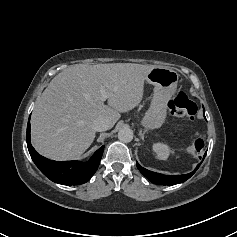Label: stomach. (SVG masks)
Wrapping results in <instances>:
<instances>
[{
    "mask_svg": "<svg viewBox=\"0 0 237 237\" xmlns=\"http://www.w3.org/2000/svg\"><path fill=\"white\" fill-rule=\"evenodd\" d=\"M179 74L171 68L155 66L147 75L146 82L154 86L151 105L141 120L146 129L163 125L167 116V101L175 90Z\"/></svg>",
    "mask_w": 237,
    "mask_h": 237,
    "instance_id": "obj_1",
    "label": "stomach"
}]
</instances>
